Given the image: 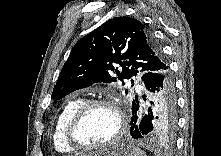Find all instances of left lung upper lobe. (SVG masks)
I'll use <instances>...</instances> for the list:
<instances>
[{
  "instance_id": "obj_1",
  "label": "left lung upper lobe",
  "mask_w": 221,
  "mask_h": 156,
  "mask_svg": "<svg viewBox=\"0 0 221 156\" xmlns=\"http://www.w3.org/2000/svg\"><path fill=\"white\" fill-rule=\"evenodd\" d=\"M112 63H118L122 70L115 69ZM166 65L159 45L140 21L115 17L74 45L54 86L52 99H61L97 82H114L116 78H111L114 71L122 85L125 79L131 80L133 86V76H142Z\"/></svg>"
}]
</instances>
